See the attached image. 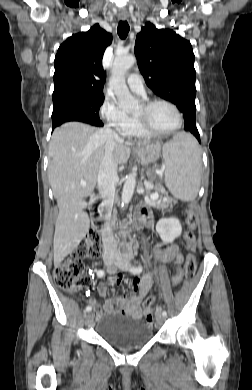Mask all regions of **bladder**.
I'll return each mask as SVG.
<instances>
[{
    "mask_svg": "<svg viewBox=\"0 0 252 390\" xmlns=\"http://www.w3.org/2000/svg\"><path fill=\"white\" fill-rule=\"evenodd\" d=\"M95 333L108 344L125 351L143 347L153 337L149 325L129 318L102 317L96 323Z\"/></svg>",
    "mask_w": 252,
    "mask_h": 390,
    "instance_id": "bladder-1",
    "label": "bladder"
}]
</instances>
